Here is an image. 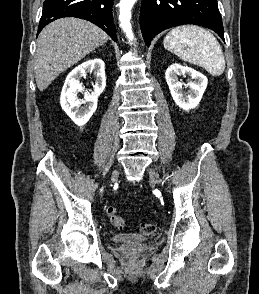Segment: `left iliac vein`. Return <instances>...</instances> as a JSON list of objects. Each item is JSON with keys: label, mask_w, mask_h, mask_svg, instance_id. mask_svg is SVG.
Instances as JSON below:
<instances>
[{"label": "left iliac vein", "mask_w": 259, "mask_h": 294, "mask_svg": "<svg viewBox=\"0 0 259 294\" xmlns=\"http://www.w3.org/2000/svg\"><path fill=\"white\" fill-rule=\"evenodd\" d=\"M149 176H150L151 180L158 182L159 175L157 174V172L154 169L149 170Z\"/></svg>", "instance_id": "obj_1"}]
</instances>
